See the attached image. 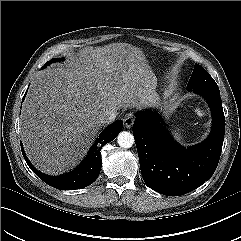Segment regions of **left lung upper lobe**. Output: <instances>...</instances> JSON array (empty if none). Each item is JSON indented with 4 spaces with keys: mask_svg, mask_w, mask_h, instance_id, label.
<instances>
[{
    "mask_svg": "<svg viewBox=\"0 0 241 241\" xmlns=\"http://www.w3.org/2000/svg\"><path fill=\"white\" fill-rule=\"evenodd\" d=\"M207 88L218 90V86L210 74L200 65L195 64L187 89Z\"/></svg>",
    "mask_w": 241,
    "mask_h": 241,
    "instance_id": "left-lung-upper-lobe-1",
    "label": "left lung upper lobe"
}]
</instances>
